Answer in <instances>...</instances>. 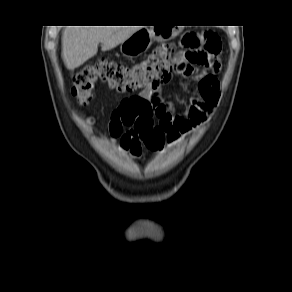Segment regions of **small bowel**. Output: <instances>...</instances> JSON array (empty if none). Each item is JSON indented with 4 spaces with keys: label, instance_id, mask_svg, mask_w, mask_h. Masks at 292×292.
<instances>
[{
    "label": "small bowel",
    "instance_id": "small-bowel-1",
    "mask_svg": "<svg viewBox=\"0 0 292 292\" xmlns=\"http://www.w3.org/2000/svg\"><path fill=\"white\" fill-rule=\"evenodd\" d=\"M220 52L221 44L195 63L200 68L196 74L198 95L190 98L183 114L176 113L170 104L161 101L155 119V126L163 135L161 149L165 145H174L180 137L191 133L207 121L219 99V81L216 75L220 69ZM192 73L193 69L185 74ZM120 145L133 158H139L144 146L140 131L134 126H129L121 135Z\"/></svg>",
    "mask_w": 292,
    "mask_h": 292
}]
</instances>
